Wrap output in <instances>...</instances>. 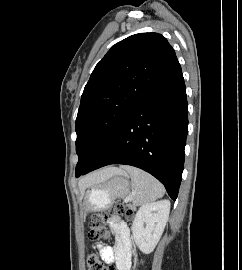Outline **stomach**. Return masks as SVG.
I'll use <instances>...</instances> for the list:
<instances>
[{
    "mask_svg": "<svg viewBox=\"0 0 242 270\" xmlns=\"http://www.w3.org/2000/svg\"><path fill=\"white\" fill-rule=\"evenodd\" d=\"M129 192L128 175L119 169L107 180L92 185L86 192L83 209L84 217L93 211L108 209L117 198Z\"/></svg>",
    "mask_w": 242,
    "mask_h": 270,
    "instance_id": "obj_1",
    "label": "stomach"
}]
</instances>
